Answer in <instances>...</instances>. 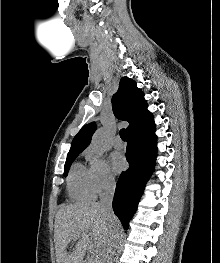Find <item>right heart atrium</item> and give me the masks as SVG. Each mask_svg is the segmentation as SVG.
Instances as JSON below:
<instances>
[{"label":"right heart atrium","mask_w":220,"mask_h":263,"mask_svg":"<svg viewBox=\"0 0 220 263\" xmlns=\"http://www.w3.org/2000/svg\"><path fill=\"white\" fill-rule=\"evenodd\" d=\"M85 156L89 161V170L96 194H104L112 190L115 178L107 161L95 157L90 150L85 152Z\"/></svg>","instance_id":"obj_1"}]
</instances>
